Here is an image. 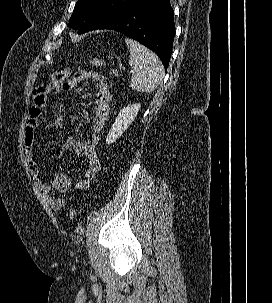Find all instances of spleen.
<instances>
[{"mask_svg": "<svg viewBox=\"0 0 272 303\" xmlns=\"http://www.w3.org/2000/svg\"><path fill=\"white\" fill-rule=\"evenodd\" d=\"M125 43L130 51L129 65L134 70L130 87L143 93L154 91L165 75L160 59L135 40L126 38Z\"/></svg>", "mask_w": 272, "mask_h": 303, "instance_id": "obj_1", "label": "spleen"}]
</instances>
